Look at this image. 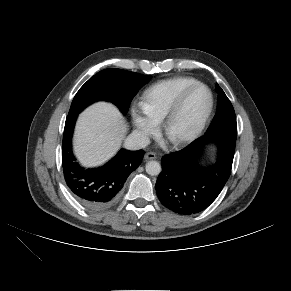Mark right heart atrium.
<instances>
[{"mask_svg":"<svg viewBox=\"0 0 291 291\" xmlns=\"http://www.w3.org/2000/svg\"><path fill=\"white\" fill-rule=\"evenodd\" d=\"M131 120L139 138L146 141L157 132L158 124L152 120L141 107L131 109Z\"/></svg>","mask_w":291,"mask_h":291,"instance_id":"d8ad5b80","label":"right heart atrium"}]
</instances>
